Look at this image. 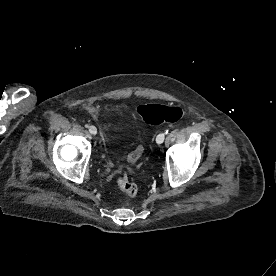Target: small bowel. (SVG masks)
I'll return each instance as SVG.
<instances>
[{"label": "small bowel", "mask_w": 276, "mask_h": 276, "mask_svg": "<svg viewBox=\"0 0 276 276\" xmlns=\"http://www.w3.org/2000/svg\"><path fill=\"white\" fill-rule=\"evenodd\" d=\"M91 112H92L93 114H96V110H95V109H91Z\"/></svg>", "instance_id": "c3829d8e"}]
</instances>
